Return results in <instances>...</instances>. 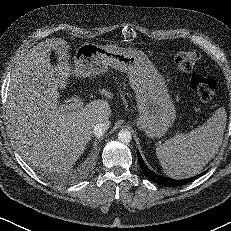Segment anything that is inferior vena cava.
I'll return each mask as SVG.
<instances>
[{
    "label": "inferior vena cava",
    "mask_w": 231,
    "mask_h": 231,
    "mask_svg": "<svg viewBox=\"0 0 231 231\" xmlns=\"http://www.w3.org/2000/svg\"><path fill=\"white\" fill-rule=\"evenodd\" d=\"M109 127H110L109 121L99 122L94 126L93 133L96 137H101L103 134L107 132Z\"/></svg>",
    "instance_id": "1"
}]
</instances>
